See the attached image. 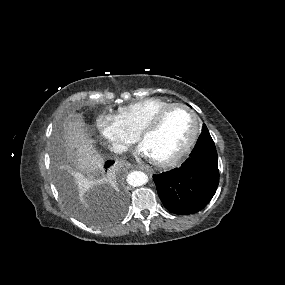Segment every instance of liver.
<instances>
[{"instance_id":"6515ba94","label":"liver","mask_w":285,"mask_h":285,"mask_svg":"<svg viewBox=\"0 0 285 285\" xmlns=\"http://www.w3.org/2000/svg\"><path fill=\"white\" fill-rule=\"evenodd\" d=\"M65 145L69 160L74 163V176L79 184L87 186L89 182L84 178L94 176L103 169V157L95 150L92 140L85 130V123L81 119L68 121L64 128Z\"/></svg>"}]
</instances>
